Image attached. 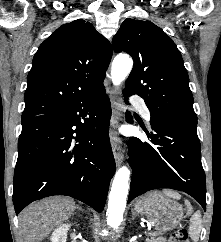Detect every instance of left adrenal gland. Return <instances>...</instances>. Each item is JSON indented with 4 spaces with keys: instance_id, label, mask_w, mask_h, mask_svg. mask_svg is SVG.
Wrapping results in <instances>:
<instances>
[{
    "instance_id": "obj_1",
    "label": "left adrenal gland",
    "mask_w": 221,
    "mask_h": 242,
    "mask_svg": "<svg viewBox=\"0 0 221 242\" xmlns=\"http://www.w3.org/2000/svg\"><path fill=\"white\" fill-rule=\"evenodd\" d=\"M136 216H137V213L135 211H133L132 212V218L131 219H134Z\"/></svg>"
}]
</instances>
